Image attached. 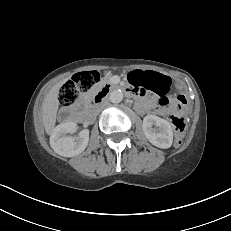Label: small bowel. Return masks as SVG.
<instances>
[{"label":"small bowel","mask_w":231,"mask_h":231,"mask_svg":"<svg viewBox=\"0 0 231 231\" xmlns=\"http://www.w3.org/2000/svg\"><path fill=\"white\" fill-rule=\"evenodd\" d=\"M132 73H137L139 75H142L143 80L139 84L140 86L139 88L147 89L153 94V96L148 98V102L145 105V108L155 109L159 113L164 112L167 108L165 105L163 106L158 105V97L165 96L174 88V83L171 77L152 70H144V71L137 70V71H133ZM129 81H130V77H129ZM131 90L136 92V89H131ZM164 102L168 104L169 100L164 99ZM173 110L177 112H184V109L178 107L173 108Z\"/></svg>","instance_id":"c3829d8e"}]
</instances>
